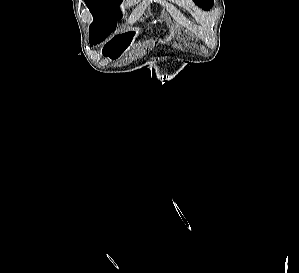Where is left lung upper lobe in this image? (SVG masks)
Listing matches in <instances>:
<instances>
[{"instance_id":"left-lung-upper-lobe-1","label":"left lung upper lobe","mask_w":299,"mask_h":273,"mask_svg":"<svg viewBox=\"0 0 299 273\" xmlns=\"http://www.w3.org/2000/svg\"><path fill=\"white\" fill-rule=\"evenodd\" d=\"M194 2L204 10H210L214 0H194Z\"/></svg>"}]
</instances>
